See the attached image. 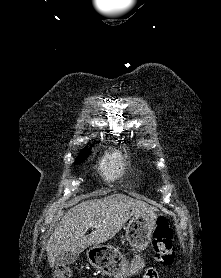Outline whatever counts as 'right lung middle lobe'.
I'll return each instance as SVG.
<instances>
[{
  "label": "right lung middle lobe",
  "instance_id": "1",
  "mask_svg": "<svg viewBox=\"0 0 221 278\" xmlns=\"http://www.w3.org/2000/svg\"><path fill=\"white\" fill-rule=\"evenodd\" d=\"M90 152H91V151H90V149H88V148L83 149V150L80 152V155H79L77 161H75V164L81 163V162H83L85 159H87V157L89 156Z\"/></svg>",
  "mask_w": 221,
  "mask_h": 278
}]
</instances>
